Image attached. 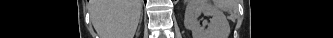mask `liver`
Masks as SVG:
<instances>
[{"instance_id":"1","label":"liver","mask_w":333,"mask_h":38,"mask_svg":"<svg viewBox=\"0 0 333 38\" xmlns=\"http://www.w3.org/2000/svg\"><path fill=\"white\" fill-rule=\"evenodd\" d=\"M141 0H91L90 17L100 38H133Z\"/></svg>"}]
</instances>
